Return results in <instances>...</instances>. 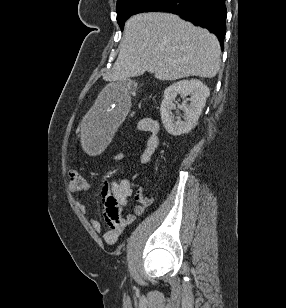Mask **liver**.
<instances>
[{
    "label": "liver",
    "mask_w": 286,
    "mask_h": 308,
    "mask_svg": "<svg viewBox=\"0 0 286 308\" xmlns=\"http://www.w3.org/2000/svg\"><path fill=\"white\" fill-rule=\"evenodd\" d=\"M220 45L206 29L169 13L137 14L125 24V38L106 81L148 71L159 80L213 78L220 69Z\"/></svg>",
    "instance_id": "1"
}]
</instances>
